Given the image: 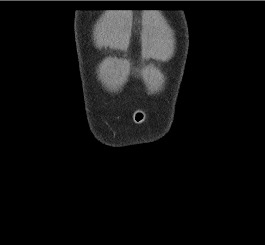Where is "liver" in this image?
<instances>
[{
    "instance_id": "obj_1",
    "label": "liver",
    "mask_w": 265,
    "mask_h": 245,
    "mask_svg": "<svg viewBox=\"0 0 265 245\" xmlns=\"http://www.w3.org/2000/svg\"><path fill=\"white\" fill-rule=\"evenodd\" d=\"M98 46H106L110 41L105 38L101 33H98L96 36Z\"/></svg>"
}]
</instances>
